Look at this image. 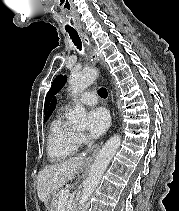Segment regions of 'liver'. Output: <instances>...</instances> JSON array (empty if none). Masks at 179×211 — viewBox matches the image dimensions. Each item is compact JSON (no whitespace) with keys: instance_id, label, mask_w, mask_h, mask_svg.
<instances>
[{"instance_id":"1","label":"liver","mask_w":179,"mask_h":211,"mask_svg":"<svg viewBox=\"0 0 179 211\" xmlns=\"http://www.w3.org/2000/svg\"><path fill=\"white\" fill-rule=\"evenodd\" d=\"M85 161L82 156H77L59 164L45 167L37 177V193L40 201L48 204L51 196L63 185L75 179L76 174L82 170Z\"/></svg>"}]
</instances>
